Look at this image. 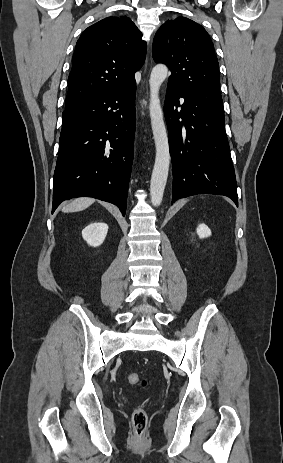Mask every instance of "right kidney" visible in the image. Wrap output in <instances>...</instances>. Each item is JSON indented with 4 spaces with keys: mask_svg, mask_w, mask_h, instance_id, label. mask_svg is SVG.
Wrapping results in <instances>:
<instances>
[{
    "mask_svg": "<svg viewBox=\"0 0 283 463\" xmlns=\"http://www.w3.org/2000/svg\"><path fill=\"white\" fill-rule=\"evenodd\" d=\"M107 232L106 223L94 222L82 230V237L90 246L97 247L104 242Z\"/></svg>",
    "mask_w": 283,
    "mask_h": 463,
    "instance_id": "ca27d5eb",
    "label": "right kidney"
}]
</instances>
